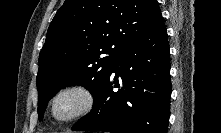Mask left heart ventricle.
Here are the masks:
<instances>
[{"mask_svg": "<svg viewBox=\"0 0 221 133\" xmlns=\"http://www.w3.org/2000/svg\"><path fill=\"white\" fill-rule=\"evenodd\" d=\"M71 102L70 101H62L59 103L57 106V113L58 114H63L67 112L71 108Z\"/></svg>", "mask_w": 221, "mask_h": 133, "instance_id": "left-heart-ventricle-1", "label": "left heart ventricle"}]
</instances>
